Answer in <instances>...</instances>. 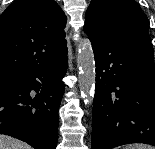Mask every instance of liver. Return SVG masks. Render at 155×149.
<instances>
[{
  "mask_svg": "<svg viewBox=\"0 0 155 149\" xmlns=\"http://www.w3.org/2000/svg\"><path fill=\"white\" fill-rule=\"evenodd\" d=\"M0 149H31V146L13 137L0 134Z\"/></svg>",
  "mask_w": 155,
  "mask_h": 149,
  "instance_id": "1",
  "label": "liver"
}]
</instances>
